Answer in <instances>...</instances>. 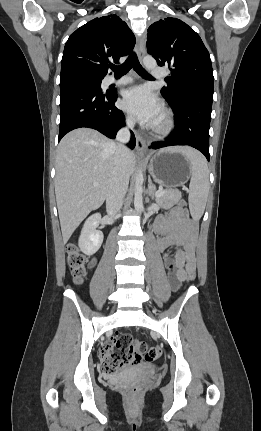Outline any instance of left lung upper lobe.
<instances>
[{"label":"left lung upper lobe","instance_id":"1","mask_svg":"<svg viewBox=\"0 0 261 431\" xmlns=\"http://www.w3.org/2000/svg\"><path fill=\"white\" fill-rule=\"evenodd\" d=\"M147 47L159 66L171 71L169 84L161 94L171 105L187 97L213 99L214 77L211 59L200 36L186 23L165 18L153 23Z\"/></svg>","mask_w":261,"mask_h":431}]
</instances>
